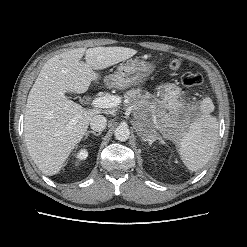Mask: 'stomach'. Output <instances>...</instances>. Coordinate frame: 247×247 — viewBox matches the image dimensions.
Here are the masks:
<instances>
[{
	"label": "stomach",
	"mask_w": 247,
	"mask_h": 247,
	"mask_svg": "<svg viewBox=\"0 0 247 247\" xmlns=\"http://www.w3.org/2000/svg\"><path fill=\"white\" fill-rule=\"evenodd\" d=\"M152 64L139 59H129L122 63L114 74L105 77L104 82L114 88H128L142 82L152 71ZM158 107L148 105L137 113L135 126L143 138L155 136L159 130L166 137L179 138L185 126L180 123L178 111L184 106L182 90L176 84L166 83L157 92Z\"/></svg>",
	"instance_id": "1"
}]
</instances>
